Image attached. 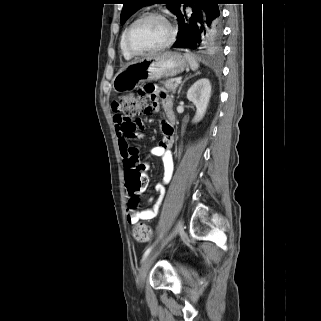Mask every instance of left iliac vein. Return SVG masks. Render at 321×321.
<instances>
[{"mask_svg": "<svg viewBox=\"0 0 321 321\" xmlns=\"http://www.w3.org/2000/svg\"><path fill=\"white\" fill-rule=\"evenodd\" d=\"M183 228V220L182 218H179L174 226V228L172 229V231L162 240L160 246L158 247L157 250L151 252L144 260L141 270H140V274H139V282H140V286L143 285L145 278L147 276V273L150 269V266L153 262L154 257L156 256L157 252L159 249L163 248L170 240H172Z\"/></svg>", "mask_w": 321, "mask_h": 321, "instance_id": "left-iliac-vein-1", "label": "left iliac vein"}]
</instances>
